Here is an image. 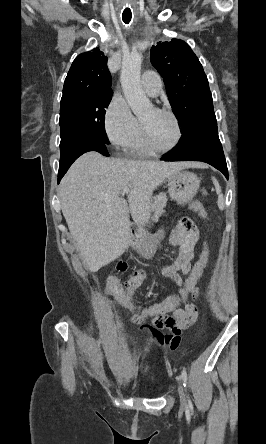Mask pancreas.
I'll return each instance as SVG.
<instances>
[{"label": "pancreas", "instance_id": "obj_1", "mask_svg": "<svg viewBox=\"0 0 266 444\" xmlns=\"http://www.w3.org/2000/svg\"><path fill=\"white\" fill-rule=\"evenodd\" d=\"M166 203L167 197L165 194H160L153 199L152 203L150 204V211L154 213L153 219L165 213Z\"/></svg>", "mask_w": 266, "mask_h": 444}]
</instances>
